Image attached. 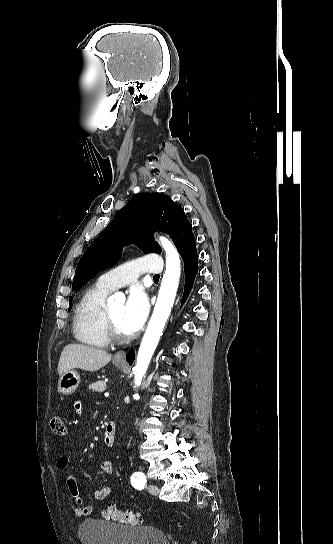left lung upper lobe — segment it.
<instances>
[{"instance_id":"obj_1","label":"left lung upper lobe","mask_w":333,"mask_h":544,"mask_svg":"<svg viewBox=\"0 0 333 544\" xmlns=\"http://www.w3.org/2000/svg\"><path fill=\"white\" fill-rule=\"evenodd\" d=\"M161 231L170 235L178 252L184 257L196 248L192 226L183 208L163 194L135 195L114 217L110 225L86 250L73 279L78 290L94 274L114 265L121 257L123 245L134 242L144 253H161V247L149 234ZM72 297H70L71 306Z\"/></svg>"}]
</instances>
